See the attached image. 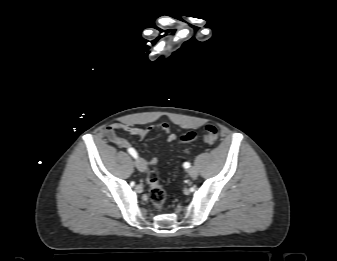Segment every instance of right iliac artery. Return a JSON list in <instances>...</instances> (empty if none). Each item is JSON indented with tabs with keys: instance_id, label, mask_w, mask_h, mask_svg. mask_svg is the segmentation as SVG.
Instances as JSON below:
<instances>
[{
	"instance_id": "1",
	"label": "right iliac artery",
	"mask_w": 337,
	"mask_h": 261,
	"mask_svg": "<svg viewBox=\"0 0 337 261\" xmlns=\"http://www.w3.org/2000/svg\"><path fill=\"white\" fill-rule=\"evenodd\" d=\"M128 152L130 155H132L134 158H137V152L133 148H129Z\"/></svg>"
}]
</instances>
